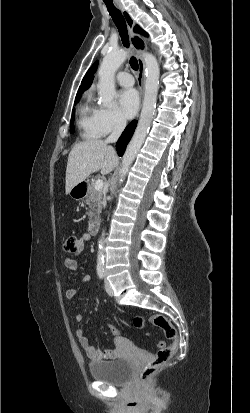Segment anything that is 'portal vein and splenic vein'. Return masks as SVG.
<instances>
[{
  "label": "portal vein and splenic vein",
  "instance_id": "18ae733b",
  "mask_svg": "<svg viewBox=\"0 0 250 413\" xmlns=\"http://www.w3.org/2000/svg\"><path fill=\"white\" fill-rule=\"evenodd\" d=\"M102 188H103V180H101V179L96 180L95 189L96 190H102Z\"/></svg>",
  "mask_w": 250,
  "mask_h": 413
}]
</instances>
